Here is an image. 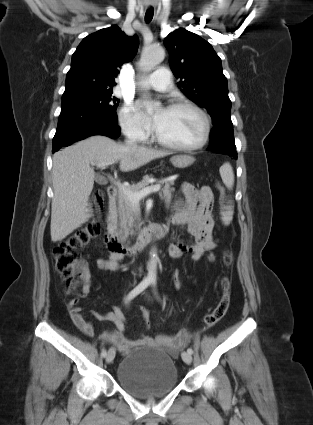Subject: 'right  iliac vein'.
I'll list each match as a JSON object with an SVG mask.
<instances>
[{
	"label": "right iliac vein",
	"instance_id": "1",
	"mask_svg": "<svg viewBox=\"0 0 313 425\" xmlns=\"http://www.w3.org/2000/svg\"><path fill=\"white\" fill-rule=\"evenodd\" d=\"M114 357H115V349L110 348L108 350V353L106 354V362L111 363L113 361Z\"/></svg>",
	"mask_w": 313,
	"mask_h": 425
}]
</instances>
